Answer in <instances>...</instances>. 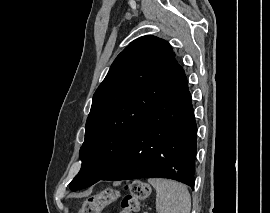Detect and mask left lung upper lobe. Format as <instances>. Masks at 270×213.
<instances>
[{
    "mask_svg": "<svg viewBox=\"0 0 270 213\" xmlns=\"http://www.w3.org/2000/svg\"><path fill=\"white\" fill-rule=\"evenodd\" d=\"M183 74L172 47L158 37H140L117 56L94 93L79 152L82 166L71 190L89 187L110 171L137 127Z\"/></svg>",
    "mask_w": 270,
    "mask_h": 213,
    "instance_id": "1",
    "label": "left lung upper lobe"
}]
</instances>
